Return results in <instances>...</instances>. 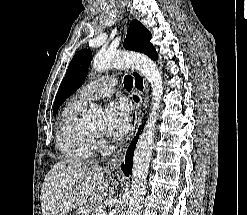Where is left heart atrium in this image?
<instances>
[{
  "instance_id": "1",
  "label": "left heart atrium",
  "mask_w": 247,
  "mask_h": 215,
  "mask_svg": "<svg viewBox=\"0 0 247 215\" xmlns=\"http://www.w3.org/2000/svg\"><path fill=\"white\" fill-rule=\"evenodd\" d=\"M129 105L125 100L111 102L106 109V132L109 136L119 139L129 129Z\"/></svg>"
}]
</instances>
